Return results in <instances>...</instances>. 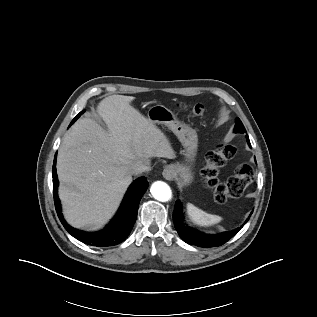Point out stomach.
<instances>
[{
  "mask_svg": "<svg viewBox=\"0 0 317 317\" xmlns=\"http://www.w3.org/2000/svg\"><path fill=\"white\" fill-rule=\"evenodd\" d=\"M147 118L154 124L168 127L183 145L181 154L185 157V162L171 164V168L178 178L181 186L189 185L194 178L191 163L194 160L198 149V136L189 125L178 120L177 116L166 106L156 104L149 108Z\"/></svg>",
  "mask_w": 317,
  "mask_h": 317,
  "instance_id": "1",
  "label": "stomach"
}]
</instances>
